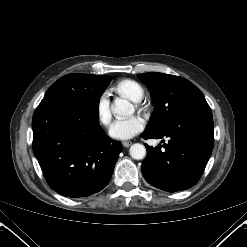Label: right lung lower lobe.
Here are the masks:
<instances>
[{
  "label": "right lung lower lobe",
  "mask_w": 247,
  "mask_h": 247,
  "mask_svg": "<svg viewBox=\"0 0 247 247\" xmlns=\"http://www.w3.org/2000/svg\"><path fill=\"white\" fill-rule=\"evenodd\" d=\"M32 128L34 154L57 193L85 197L108 184L122 145L99 125V109L65 99H43Z\"/></svg>",
  "instance_id": "1"
}]
</instances>
